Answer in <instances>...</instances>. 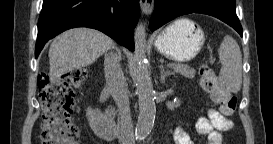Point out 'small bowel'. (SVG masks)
I'll return each instance as SVG.
<instances>
[{
	"label": "small bowel",
	"instance_id": "c3829d8e",
	"mask_svg": "<svg viewBox=\"0 0 273 144\" xmlns=\"http://www.w3.org/2000/svg\"><path fill=\"white\" fill-rule=\"evenodd\" d=\"M197 132L205 137L207 144H222L225 131H233L234 123L217 110L210 108L206 116H201L195 124ZM176 144H193L189 135L181 128H177L174 133Z\"/></svg>",
	"mask_w": 273,
	"mask_h": 144
}]
</instances>
